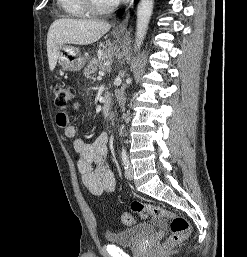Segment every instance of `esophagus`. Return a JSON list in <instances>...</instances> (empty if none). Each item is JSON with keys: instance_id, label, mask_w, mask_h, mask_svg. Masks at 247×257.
<instances>
[{"instance_id": "obj_1", "label": "esophagus", "mask_w": 247, "mask_h": 257, "mask_svg": "<svg viewBox=\"0 0 247 257\" xmlns=\"http://www.w3.org/2000/svg\"><path fill=\"white\" fill-rule=\"evenodd\" d=\"M129 18H130V13L128 11L127 14L125 15L124 19L116 25V27L114 28V31H116V32L127 31Z\"/></svg>"}]
</instances>
